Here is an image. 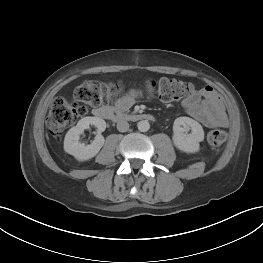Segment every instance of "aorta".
<instances>
[{"instance_id":"762f6f07","label":"aorta","mask_w":263,"mask_h":263,"mask_svg":"<svg viewBox=\"0 0 263 263\" xmlns=\"http://www.w3.org/2000/svg\"><path fill=\"white\" fill-rule=\"evenodd\" d=\"M138 130L141 132H147L150 129V124L147 120H142L137 123Z\"/></svg>"}]
</instances>
